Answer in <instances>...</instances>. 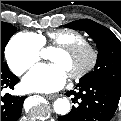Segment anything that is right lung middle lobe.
Returning a JSON list of instances; mask_svg holds the SVG:
<instances>
[{
  "instance_id": "dd1d6c3e",
  "label": "right lung middle lobe",
  "mask_w": 121,
  "mask_h": 121,
  "mask_svg": "<svg viewBox=\"0 0 121 121\" xmlns=\"http://www.w3.org/2000/svg\"><path fill=\"white\" fill-rule=\"evenodd\" d=\"M17 31V28L9 23L1 21V65L4 64V49L10 37Z\"/></svg>"
}]
</instances>
